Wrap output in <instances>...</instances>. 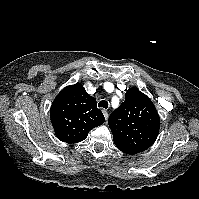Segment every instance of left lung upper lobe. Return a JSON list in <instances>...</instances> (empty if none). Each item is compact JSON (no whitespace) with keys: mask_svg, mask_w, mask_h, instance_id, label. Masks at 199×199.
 <instances>
[{"mask_svg":"<svg viewBox=\"0 0 199 199\" xmlns=\"http://www.w3.org/2000/svg\"><path fill=\"white\" fill-rule=\"evenodd\" d=\"M114 143L126 154L148 149L156 140L160 118L152 101L136 88H130L125 101L109 116Z\"/></svg>","mask_w":199,"mask_h":199,"instance_id":"1","label":"left lung upper lobe"}]
</instances>
